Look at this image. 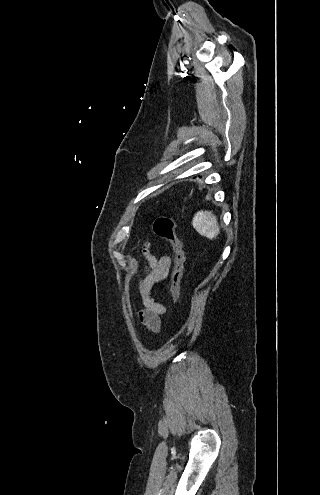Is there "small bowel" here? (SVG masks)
Wrapping results in <instances>:
<instances>
[{
    "label": "small bowel",
    "mask_w": 320,
    "mask_h": 495,
    "mask_svg": "<svg viewBox=\"0 0 320 495\" xmlns=\"http://www.w3.org/2000/svg\"><path fill=\"white\" fill-rule=\"evenodd\" d=\"M143 254L146 267L139 280L138 289L144 309L138 313V317L147 331L158 332L161 325L160 317L165 313L166 308L154 298L153 287L167 278L172 262L168 255L157 259L151 253L149 244L144 246Z\"/></svg>",
    "instance_id": "c3829d8e"
}]
</instances>
